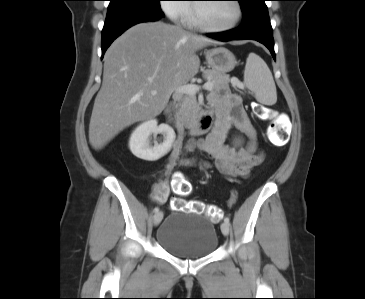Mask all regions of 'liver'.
<instances>
[{
  "label": "liver",
  "mask_w": 365,
  "mask_h": 299,
  "mask_svg": "<svg viewBox=\"0 0 365 299\" xmlns=\"http://www.w3.org/2000/svg\"><path fill=\"white\" fill-rule=\"evenodd\" d=\"M210 44L220 42L160 21L137 24L118 37L104 57L89 124L92 147L101 149L126 127L159 115L172 93L197 74L196 51Z\"/></svg>",
  "instance_id": "1"
}]
</instances>
